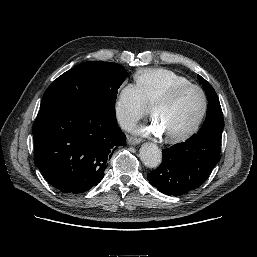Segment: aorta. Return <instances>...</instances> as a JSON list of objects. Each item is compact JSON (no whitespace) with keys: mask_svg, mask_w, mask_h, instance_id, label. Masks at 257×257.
I'll return each mask as SVG.
<instances>
[{"mask_svg":"<svg viewBox=\"0 0 257 257\" xmlns=\"http://www.w3.org/2000/svg\"><path fill=\"white\" fill-rule=\"evenodd\" d=\"M140 159L149 168H156L162 161L161 150L152 143H145L140 149Z\"/></svg>","mask_w":257,"mask_h":257,"instance_id":"762f6f07","label":"aorta"}]
</instances>
